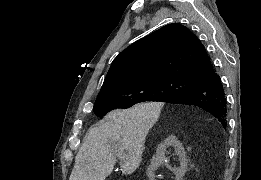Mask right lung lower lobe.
<instances>
[{"label": "right lung lower lobe", "instance_id": "1", "mask_svg": "<svg viewBox=\"0 0 261 180\" xmlns=\"http://www.w3.org/2000/svg\"><path fill=\"white\" fill-rule=\"evenodd\" d=\"M166 102L198 106L217 118L224 128L227 125L225 92L215 70L201 77L193 90L172 97Z\"/></svg>", "mask_w": 261, "mask_h": 180}]
</instances>
